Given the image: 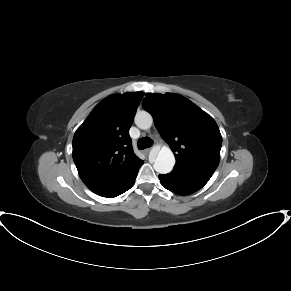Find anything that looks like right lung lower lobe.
<instances>
[{"label": "right lung lower lobe", "instance_id": "right-lung-lower-lobe-1", "mask_svg": "<svg viewBox=\"0 0 291 291\" xmlns=\"http://www.w3.org/2000/svg\"><path fill=\"white\" fill-rule=\"evenodd\" d=\"M137 174H138V172L133 176V178L127 184H125L119 190L114 191V192L109 193V194L101 195V196L108 197V198H113V197H116V196L124 193L125 191L129 190L134 185Z\"/></svg>", "mask_w": 291, "mask_h": 291}]
</instances>
